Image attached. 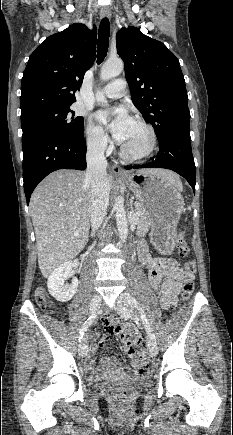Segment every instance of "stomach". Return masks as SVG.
<instances>
[{
  "instance_id": "obj_1",
  "label": "stomach",
  "mask_w": 233,
  "mask_h": 435,
  "mask_svg": "<svg viewBox=\"0 0 233 435\" xmlns=\"http://www.w3.org/2000/svg\"><path fill=\"white\" fill-rule=\"evenodd\" d=\"M125 182L146 210L152 238L163 252L169 253L184 208L180 188L171 180L150 173L128 174Z\"/></svg>"
}]
</instances>
